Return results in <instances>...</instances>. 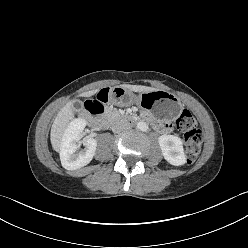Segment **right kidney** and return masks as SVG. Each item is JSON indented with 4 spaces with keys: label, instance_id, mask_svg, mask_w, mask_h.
I'll return each mask as SVG.
<instances>
[{
    "label": "right kidney",
    "instance_id": "ca27d5eb",
    "mask_svg": "<svg viewBox=\"0 0 248 248\" xmlns=\"http://www.w3.org/2000/svg\"><path fill=\"white\" fill-rule=\"evenodd\" d=\"M86 126V120L74 119L67 126L60 147V160L62 166L67 170H76L86 166L95 155L97 141L86 137L82 140L85 148L79 151V140L81 133Z\"/></svg>",
    "mask_w": 248,
    "mask_h": 248
}]
</instances>
